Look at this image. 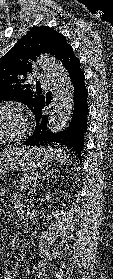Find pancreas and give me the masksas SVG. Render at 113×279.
Segmentation results:
<instances>
[{
    "instance_id": "obj_1",
    "label": "pancreas",
    "mask_w": 113,
    "mask_h": 279,
    "mask_svg": "<svg viewBox=\"0 0 113 279\" xmlns=\"http://www.w3.org/2000/svg\"><path fill=\"white\" fill-rule=\"evenodd\" d=\"M38 174L35 172L25 173L23 177L17 180L15 184V188L22 191L25 189L33 180L37 178Z\"/></svg>"
}]
</instances>
